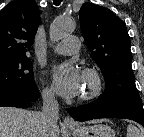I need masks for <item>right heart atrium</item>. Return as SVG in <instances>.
<instances>
[{"label":"right heart atrium","mask_w":144,"mask_h":137,"mask_svg":"<svg viewBox=\"0 0 144 137\" xmlns=\"http://www.w3.org/2000/svg\"><path fill=\"white\" fill-rule=\"evenodd\" d=\"M43 97L47 102H53L55 100V94L54 91L52 89V87L50 86H46L43 89Z\"/></svg>","instance_id":"right-heart-atrium-1"}]
</instances>
